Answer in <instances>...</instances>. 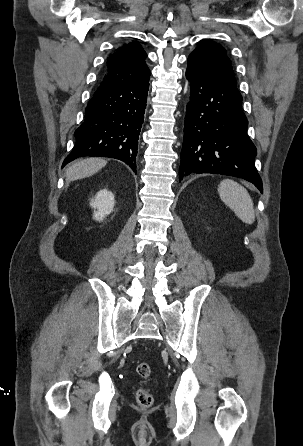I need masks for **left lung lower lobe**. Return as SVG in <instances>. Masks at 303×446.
<instances>
[{"instance_id":"1","label":"left lung lower lobe","mask_w":303,"mask_h":446,"mask_svg":"<svg viewBox=\"0 0 303 446\" xmlns=\"http://www.w3.org/2000/svg\"><path fill=\"white\" fill-rule=\"evenodd\" d=\"M191 97L184 122L179 178L213 173L243 178L261 192L254 164L256 147L246 134L248 121L236 84L188 57Z\"/></svg>"}]
</instances>
